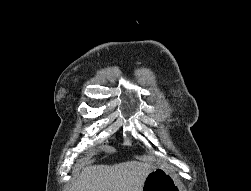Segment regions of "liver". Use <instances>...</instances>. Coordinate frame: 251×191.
Instances as JSON below:
<instances>
[{"mask_svg": "<svg viewBox=\"0 0 251 191\" xmlns=\"http://www.w3.org/2000/svg\"><path fill=\"white\" fill-rule=\"evenodd\" d=\"M148 161H123L114 165H89L74 179L70 191H143Z\"/></svg>", "mask_w": 251, "mask_h": 191, "instance_id": "6515ba94", "label": "liver"}]
</instances>
